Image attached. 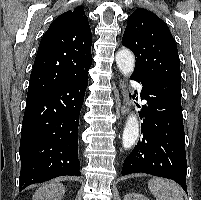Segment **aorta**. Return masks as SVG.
<instances>
[{
  "instance_id": "obj_1",
  "label": "aorta",
  "mask_w": 201,
  "mask_h": 200,
  "mask_svg": "<svg viewBox=\"0 0 201 200\" xmlns=\"http://www.w3.org/2000/svg\"><path fill=\"white\" fill-rule=\"evenodd\" d=\"M116 64L119 70L125 76L131 75L134 71L135 58L133 53L128 49H122L117 52ZM139 136V123L137 116L131 114L126 121L123 135H122V144L125 149L131 148Z\"/></svg>"
}]
</instances>
